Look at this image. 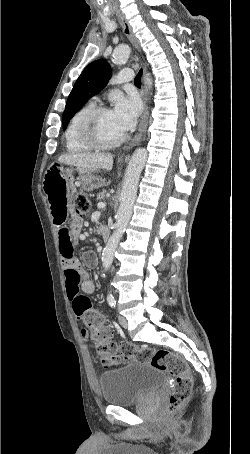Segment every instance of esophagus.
Masks as SVG:
<instances>
[{"label":"esophagus","mask_w":250,"mask_h":454,"mask_svg":"<svg viewBox=\"0 0 250 454\" xmlns=\"http://www.w3.org/2000/svg\"><path fill=\"white\" fill-rule=\"evenodd\" d=\"M118 19L123 27L124 33L129 38L131 43L134 45V47L138 51H141L140 43H139L138 39L136 38L135 34L133 33L132 27L130 26L129 22L122 15H118ZM144 74H146V68L144 69ZM143 95H144V102H145L143 115H142V118H141V121L139 124L138 132H137L133 142L128 147V149L132 148L134 145H136L142 139V137L145 134L146 128H147L148 107L146 105V97H147L146 89L143 90Z\"/></svg>","instance_id":"1"}]
</instances>
